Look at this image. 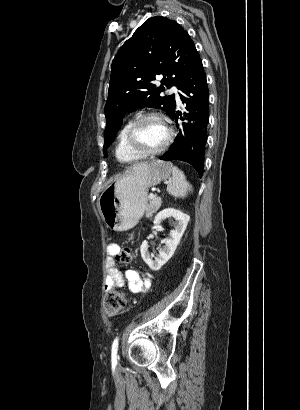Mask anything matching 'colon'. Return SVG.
Masks as SVG:
<instances>
[{"label": "colon", "instance_id": "obj_1", "mask_svg": "<svg viewBox=\"0 0 300 410\" xmlns=\"http://www.w3.org/2000/svg\"><path fill=\"white\" fill-rule=\"evenodd\" d=\"M116 260L121 264L130 263L133 260L132 250L123 247L116 253ZM126 303L125 295L119 292L109 291L103 300V308L108 316H116L121 312Z\"/></svg>", "mask_w": 300, "mask_h": 410}]
</instances>
